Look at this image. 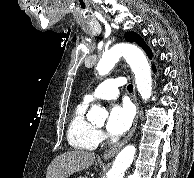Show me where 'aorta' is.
Returning a JSON list of instances; mask_svg holds the SVG:
<instances>
[{
  "label": "aorta",
  "instance_id": "aorta-1",
  "mask_svg": "<svg viewBox=\"0 0 194 178\" xmlns=\"http://www.w3.org/2000/svg\"><path fill=\"white\" fill-rule=\"evenodd\" d=\"M120 57H124L130 65L134 75L137 90L143 100H148L152 94V79L151 68L148 60L141 49L137 46L122 43L113 46L110 50L105 52L97 64L96 70L99 75H106L119 61ZM105 111L93 105L87 114V119L91 122H100L103 120ZM136 148L133 145L124 147L116 156L111 170L108 173V178H123L125 171L131 165Z\"/></svg>",
  "mask_w": 194,
  "mask_h": 178
}]
</instances>
